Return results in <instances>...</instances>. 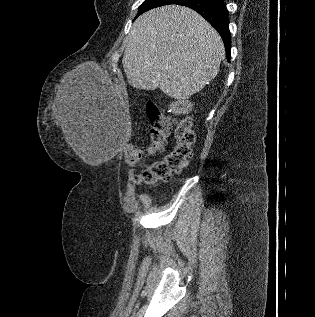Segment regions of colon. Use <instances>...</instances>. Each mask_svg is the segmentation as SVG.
Masks as SVG:
<instances>
[{
    "label": "colon",
    "instance_id": "1",
    "mask_svg": "<svg viewBox=\"0 0 315 317\" xmlns=\"http://www.w3.org/2000/svg\"><path fill=\"white\" fill-rule=\"evenodd\" d=\"M187 110V106L183 103L174 105V113L181 116L180 119L175 121L174 135L176 143L171 152L162 159L148 164L136 176L137 183L154 185L159 181H167L187 165L192 157V147L195 141L191 120L186 115ZM146 113L150 122V144L146 147L135 144L127 147L125 160L130 165L137 164L144 156L161 152L171 132V118L163 114L153 102L147 104Z\"/></svg>",
    "mask_w": 315,
    "mask_h": 317
}]
</instances>
